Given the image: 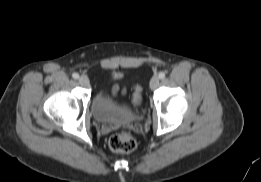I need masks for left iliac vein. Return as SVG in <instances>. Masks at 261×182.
<instances>
[{
  "instance_id": "left-iliac-vein-1",
  "label": "left iliac vein",
  "mask_w": 261,
  "mask_h": 182,
  "mask_svg": "<svg viewBox=\"0 0 261 182\" xmlns=\"http://www.w3.org/2000/svg\"><path fill=\"white\" fill-rule=\"evenodd\" d=\"M159 82H160L159 78L157 76H154L150 81V88L152 90L156 89L159 85Z\"/></svg>"
}]
</instances>
